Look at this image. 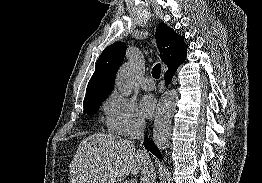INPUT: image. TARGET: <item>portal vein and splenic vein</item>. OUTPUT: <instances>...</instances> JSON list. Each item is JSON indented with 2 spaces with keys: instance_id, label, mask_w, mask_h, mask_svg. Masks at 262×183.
I'll use <instances>...</instances> for the list:
<instances>
[{
  "instance_id": "obj_1",
  "label": "portal vein and splenic vein",
  "mask_w": 262,
  "mask_h": 183,
  "mask_svg": "<svg viewBox=\"0 0 262 183\" xmlns=\"http://www.w3.org/2000/svg\"><path fill=\"white\" fill-rule=\"evenodd\" d=\"M129 183H136V181L135 180H130Z\"/></svg>"
}]
</instances>
